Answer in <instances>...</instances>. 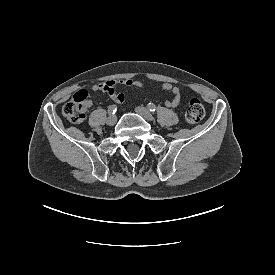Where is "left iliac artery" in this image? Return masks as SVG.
<instances>
[{"mask_svg":"<svg viewBox=\"0 0 275 275\" xmlns=\"http://www.w3.org/2000/svg\"><path fill=\"white\" fill-rule=\"evenodd\" d=\"M148 109L151 111V112H155L156 110V107L153 103H148Z\"/></svg>","mask_w":275,"mask_h":275,"instance_id":"obj_1","label":"left iliac artery"}]
</instances>
